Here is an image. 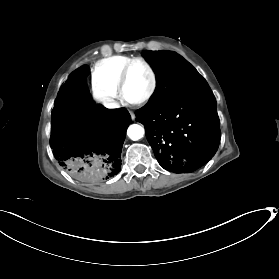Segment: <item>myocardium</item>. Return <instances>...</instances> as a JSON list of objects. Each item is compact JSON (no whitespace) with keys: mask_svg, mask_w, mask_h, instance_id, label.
I'll return each instance as SVG.
<instances>
[{"mask_svg":"<svg viewBox=\"0 0 279 279\" xmlns=\"http://www.w3.org/2000/svg\"><path fill=\"white\" fill-rule=\"evenodd\" d=\"M136 63L142 64L148 70L150 77H151V86H150V89L148 90V92L142 98L137 99V100H129V99H127L126 93H125L126 82H127V77H128L131 67ZM156 89H157L156 73H155L154 69L152 68V66L145 59L140 58V57L132 58L124 65V67L122 68V70L119 74V78H118V94L124 104H126V105H143L154 96Z\"/></svg>","mask_w":279,"mask_h":279,"instance_id":"myocardium-1","label":"myocardium"}]
</instances>
